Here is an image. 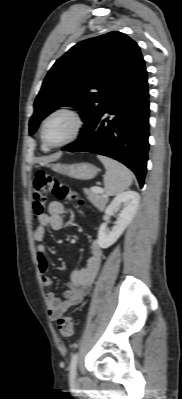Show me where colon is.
I'll return each instance as SVG.
<instances>
[{"label":"colon","mask_w":182,"mask_h":399,"mask_svg":"<svg viewBox=\"0 0 182 399\" xmlns=\"http://www.w3.org/2000/svg\"><path fill=\"white\" fill-rule=\"evenodd\" d=\"M51 192L58 199L67 203H76L83 207L84 203L73 192L68 183L56 178L46 171H38L32 188V207L35 216H42L47 205V194ZM58 331L63 337H71L74 331V322L71 317H60L57 322Z\"/></svg>","instance_id":"5ec220e1"}]
</instances>
